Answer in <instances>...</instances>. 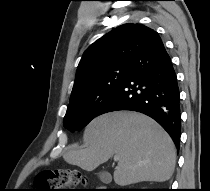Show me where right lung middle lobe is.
<instances>
[{
  "label": "right lung middle lobe",
  "mask_w": 210,
  "mask_h": 191,
  "mask_svg": "<svg viewBox=\"0 0 210 191\" xmlns=\"http://www.w3.org/2000/svg\"><path fill=\"white\" fill-rule=\"evenodd\" d=\"M129 64H115L92 78L82 90L71 96L64 127L70 131L82 130L99 111L126 78Z\"/></svg>",
  "instance_id": "dd1d6c3e"
}]
</instances>
